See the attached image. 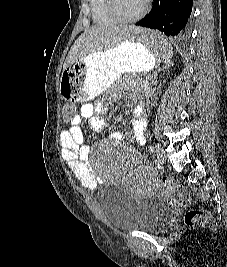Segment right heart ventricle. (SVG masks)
<instances>
[{
    "label": "right heart ventricle",
    "mask_w": 227,
    "mask_h": 267,
    "mask_svg": "<svg viewBox=\"0 0 227 267\" xmlns=\"http://www.w3.org/2000/svg\"><path fill=\"white\" fill-rule=\"evenodd\" d=\"M93 20L100 25H113L117 23L108 12L106 0H90Z\"/></svg>",
    "instance_id": "obj_1"
}]
</instances>
